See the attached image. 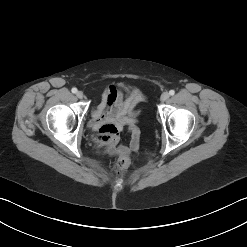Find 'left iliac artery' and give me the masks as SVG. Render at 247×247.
Masks as SVG:
<instances>
[{"mask_svg": "<svg viewBox=\"0 0 247 247\" xmlns=\"http://www.w3.org/2000/svg\"><path fill=\"white\" fill-rule=\"evenodd\" d=\"M169 94H170V95H174V94H175V91H174V90H170V91H169Z\"/></svg>", "mask_w": 247, "mask_h": 247, "instance_id": "left-iliac-artery-1", "label": "left iliac artery"}]
</instances>
